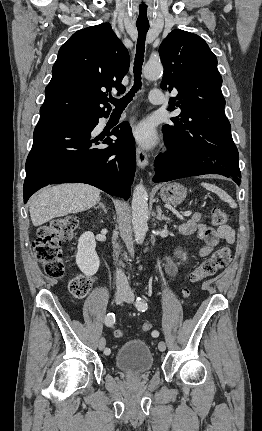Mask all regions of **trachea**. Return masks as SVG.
I'll return each mask as SVG.
<instances>
[{"mask_svg":"<svg viewBox=\"0 0 262 431\" xmlns=\"http://www.w3.org/2000/svg\"><path fill=\"white\" fill-rule=\"evenodd\" d=\"M147 10V6L142 4L139 6V11L145 13ZM138 29V42H137V51L134 62V86L132 89L121 99L111 98L109 101L115 106V110H123L126 108L128 103L135 96V93L138 89L141 88V69L144 58V49H145V38L146 34L149 30V26H139Z\"/></svg>","mask_w":262,"mask_h":431,"instance_id":"3493384b","label":"trachea"}]
</instances>
